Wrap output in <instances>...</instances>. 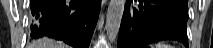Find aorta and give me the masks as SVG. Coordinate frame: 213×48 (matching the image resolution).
I'll return each mask as SVG.
<instances>
[{
  "label": "aorta",
  "instance_id": "1",
  "mask_svg": "<svg viewBox=\"0 0 213 48\" xmlns=\"http://www.w3.org/2000/svg\"><path fill=\"white\" fill-rule=\"evenodd\" d=\"M125 0H110L106 14V34L108 41H116L124 12Z\"/></svg>",
  "mask_w": 213,
  "mask_h": 48
}]
</instances>
